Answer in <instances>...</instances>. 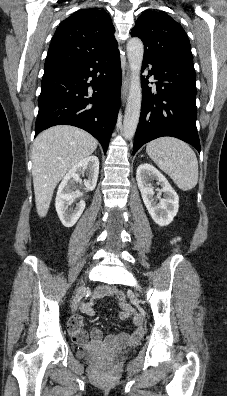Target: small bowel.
<instances>
[{
  "instance_id": "obj_1",
  "label": "small bowel",
  "mask_w": 227,
  "mask_h": 396,
  "mask_svg": "<svg viewBox=\"0 0 227 396\" xmlns=\"http://www.w3.org/2000/svg\"><path fill=\"white\" fill-rule=\"evenodd\" d=\"M179 241V238H174L170 244L174 245ZM121 292L114 286H101L97 288L92 298L89 302L85 303L82 308L81 312L86 316L93 315V304L96 300L103 298V297H111L117 296ZM119 306H120V313L119 318L121 320L132 319L133 329L131 333H116L109 335L105 340L103 338V334L101 330L94 328L88 334L86 330L83 328V318L80 315L73 316L69 321V330L73 337V340L82 345H89V346H99L103 342L108 344H127L133 343L138 341L143 335V328L141 326V321L139 317H137L134 313L133 308L124 301V299H120Z\"/></svg>"
}]
</instances>
